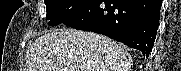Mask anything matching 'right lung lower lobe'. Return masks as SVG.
<instances>
[{
  "label": "right lung lower lobe",
  "mask_w": 181,
  "mask_h": 71,
  "mask_svg": "<svg viewBox=\"0 0 181 71\" xmlns=\"http://www.w3.org/2000/svg\"><path fill=\"white\" fill-rule=\"evenodd\" d=\"M162 0H94L63 24L93 31L149 56L159 25Z\"/></svg>",
  "instance_id": "1"
}]
</instances>
